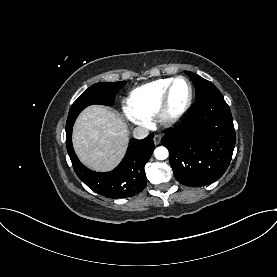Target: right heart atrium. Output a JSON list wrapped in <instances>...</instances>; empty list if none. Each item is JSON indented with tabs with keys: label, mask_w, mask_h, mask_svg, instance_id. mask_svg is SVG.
Returning a JSON list of instances; mask_svg holds the SVG:
<instances>
[{
	"label": "right heart atrium",
	"mask_w": 277,
	"mask_h": 277,
	"mask_svg": "<svg viewBox=\"0 0 277 277\" xmlns=\"http://www.w3.org/2000/svg\"><path fill=\"white\" fill-rule=\"evenodd\" d=\"M126 117L134 124L145 126L149 123V118L134 112L128 106L124 108Z\"/></svg>",
	"instance_id": "obj_1"
}]
</instances>
